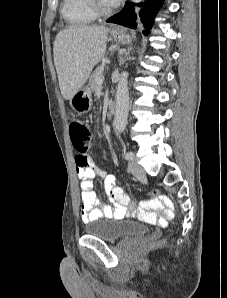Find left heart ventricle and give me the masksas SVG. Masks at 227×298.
<instances>
[{
    "instance_id": "1",
    "label": "left heart ventricle",
    "mask_w": 227,
    "mask_h": 298,
    "mask_svg": "<svg viewBox=\"0 0 227 298\" xmlns=\"http://www.w3.org/2000/svg\"><path fill=\"white\" fill-rule=\"evenodd\" d=\"M100 1V3L103 5V6H108L105 2H104V0H99Z\"/></svg>"
}]
</instances>
